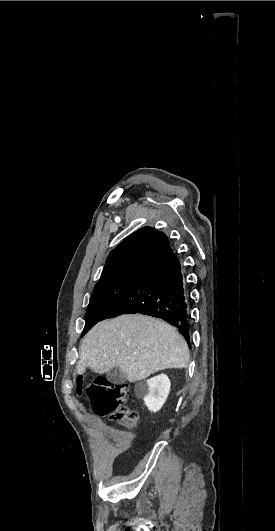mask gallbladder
I'll return each mask as SVG.
<instances>
[{
	"label": "gallbladder",
	"mask_w": 275,
	"mask_h": 531,
	"mask_svg": "<svg viewBox=\"0 0 275 531\" xmlns=\"http://www.w3.org/2000/svg\"><path fill=\"white\" fill-rule=\"evenodd\" d=\"M107 381H110V383H113V385H123L126 379V375L120 367H113L109 373H107L106 377Z\"/></svg>",
	"instance_id": "1"
}]
</instances>
